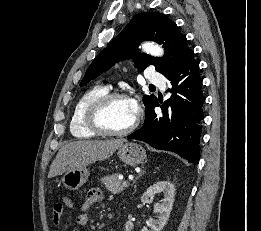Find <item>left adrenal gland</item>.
Instances as JSON below:
<instances>
[{"instance_id":"obj_1","label":"left adrenal gland","mask_w":261,"mask_h":231,"mask_svg":"<svg viewBox=\"0 0 261 231\" xmlns=\"http://www.w3.org/2000/svg\"><path fill=\"white\" fill-rule=\"evenodd\" d=\"M142 174H144V172H141L137 178H139ZM134 182H135V181H134Z\"/></svg>"}]
</instances>
